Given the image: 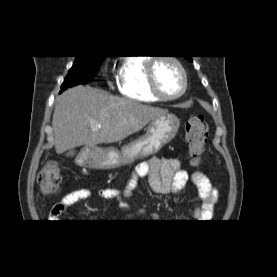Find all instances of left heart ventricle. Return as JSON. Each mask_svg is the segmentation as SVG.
<instances>
[{"mask_svg": "<svg viewBox=\"0 0 277 277\" xmlns=\"http://www.w3.org/2000/svg\"><path fill=\"white\" fill-rule=\"evenodd\" d=\"M155 75L160 91L166 96L179 93L183 80L179 69L166 60H159L155 65Z\"/></svg>", "mask_w": 277, "mask_h": 277, "instance_id": "1", "label": "left heart ventricle"}]
</instances>
